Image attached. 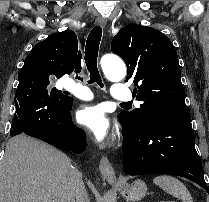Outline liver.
Listing matches in <instances>:
<instances>
[{"mask_svg":"<svg viewBox=\"0 0 209 202\" xmlns=\"http://www.w3.org/2000/svg\"><path fill=\"white\" fill-rule=\"evenodd\" d=\"M76 170L46 143L13 137L0 164V202H75Z\"/></svg>","mask_w":209,"mask_h":202,"instance_id":"liver-1","label":"liver"}]
</instances>
